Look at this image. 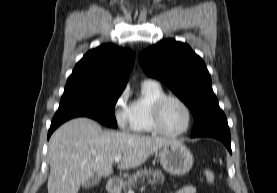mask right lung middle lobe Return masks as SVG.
I'll use <instances>...</instances> for the list:
<instances>
[{
	"instance_id": "1",
	"label": "right lung middle lobe",
	"mask_w": 277,
	"mask_h": 193,
	"mask_svg": "<svg viewBox=\"0 0 277 193\" xmlns=\"http://www.w3.org/2000/svg\"><path fill=\"white\" fill-rule=\"evenodd\" d=\"M122 91L65 89L55 116L89 117L108 127H117L115 104Z\"/></svg>"
}]
</instances>
